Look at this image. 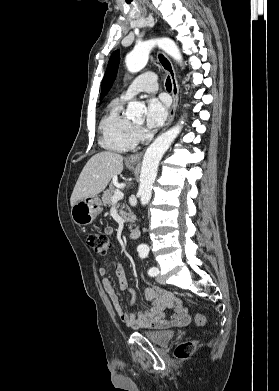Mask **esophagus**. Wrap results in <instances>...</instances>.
I'll list each match as a JSON object with an SVG mask.
<instances>
[{
	"label": "esophagus",
	"mask_w": 279,
	"mask_h": 391,
	"mask_svg": "<svg viewBox=\"0 0 279 391\" xmlns=\"http://www.w3.org/2000/svg\"><path fill=\"white\" fill-rule=\"evenodd\" d=\"M157 59H158V62L160 63V65H161V67L164 69V71L169 75V77L171 79V83H172V92H171V94H172V105H171V108H170V111H169V116H168L167 122H166V124H165V126L163 128V130H165L172 123V121L174 119V116H175V113H176V109H177V106H178L179 87H178V82H177V78H176L174 67H173L172 62L170 61V59L167 57V55L164 52H162V51H158ZM142 155H143V151L139 152V153H136V154H133V155H130L127 158V160L129 162L137 163V162H139L141 160Z\"/></svg>",
	"instance_id": "1"
}]
</instances>
